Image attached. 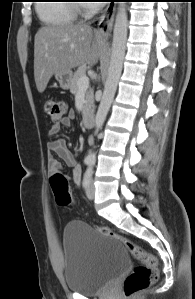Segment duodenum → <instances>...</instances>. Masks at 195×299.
Instances as JSON below:
<instances>
[{
	"label": "duodenum",
	"mask_w": 195,
	"mask_h": 299,
	"mask_svg": "<svg viewBox=\"0 0 195 299\" xmlns=\"http://www.w3.org/2000/svg\"><path fill=\"white\" fill-rule=\"evenodd\" d=\"M82 121L85 127H92L94 124V110L92 107L86 108L82 112Z\"/></svg>",
	"instance_id": "410a0bca"
}]
</instances>
